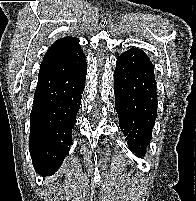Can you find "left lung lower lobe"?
<instances>
[{
	"label": "left lung lower lobe",
	"instance_id": "1",
	"mask_svg": "<svg viewBox=\"0 0 196 201\" xmlns=\"http://www.w3.org/2000/svg\"><path fill=\"white\" fill-rule=\"evenodd\" d=\"M115 108L129 148L144 155L157 116L154 67L143 50L129 49L116 61Z\"/></svg>",
	"mask_w": 196,
	"mask_h": 201
}]
</instances>
